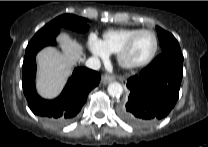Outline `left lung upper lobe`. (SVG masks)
<instances>
[{
  "mask_svg": "<svg viewBox=\"0 0 208 147\" xmlns=\"http://www.w3.org/2000/svg\"><path fill=\"white\" fill-rule=\"evenodd\" d=\"M156 30L160 41L162 53H174L176 55L182 56L179 43L175 39V37L171 33L163 30L160 27H156Z\"/></svg>",
  "mask_w": 208,
  "mask_h": 147,
  "instance_id": "left-lung-upper-lobe-1",
  "label": "left lung upper lobe"
}]
</instances>
